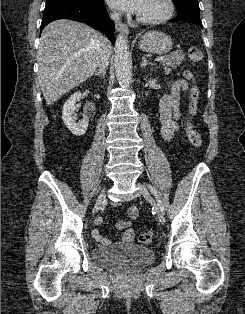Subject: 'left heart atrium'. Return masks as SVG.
<instances>
[{"label":"left heart atrium","mask_w":245,"mask_h":314,"mask_svg":"<svg viewBox=\"0 0 245 314\" xmlns=\"http://www.w3.org/2000/svg\"><path fill=\"white\" fill-rule=\"evenodd\" d=\"M147 0H107L108 4L120 11L140 14Z\"/></svg>","instance_id":"obj_1"}]
</instances>
